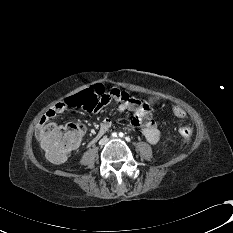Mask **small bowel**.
Returning <instances> with one entry per match:
<instances>
[{"label":"small bowel","mask_w":233,"mask_h":233,"mask_svg":"<svg viewBox=\"0 0 233 233\" xmlns=\"http://www.w3.org/2000/svg\"><path fill=\"white\" fill-rule=\"evenodd\" d=\"M110 102L119 105V110L123 113L132 112V124L139 127L146 140L152 144L157 143L162 135L161 129L153 120L152 108L147 103L138 102L137 98L133 95H129L127 92L120 89H115L108 87L105 90V94L101 97L99 102H97L92 111L94 113H99L103 108L107 107ZM67 110L65 106V100L59 101L52 108H50L40 119L38 124V129L41 131L45 128L46 123L56 117L59 114H64ZM112 125L110 119L105 118L99 124L98 134L95 135L88 144L91 146L94 142H98L99 139L107 132Z\"/></svg>","instance_id":"obj_1"}]
</instances>
